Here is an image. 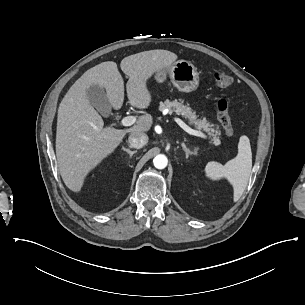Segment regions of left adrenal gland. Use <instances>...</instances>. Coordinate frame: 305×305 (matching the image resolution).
<instances>
[{
  "label": "left adrenal gland",
  "instance_id": "1",
  "mask_svg": "<svg viewBox=\"0 0 305 305\" xmlns=\"http://www.w3.org/2000/svg\"><path fill=\"white\" fill-rule=\"evenodd\" d=\"M182 149L186 152V159L188 160L189 159V156L190 155H194V153L193 152H190L187 148H186V146L184 145V144H182Z\"/></svg>",
  "mask_w": 305,
  "mask_h": 305
}]
</instances>
